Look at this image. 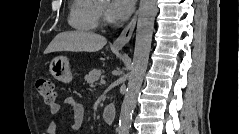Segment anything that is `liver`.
Returning <instances> with one entry per match:
<instances>
[{
	"instance_id": "liver-1",
	"label": "liver",
	"mask_w": 239,
	"mask_h": 134,
	"mask_svg": "<svg viewBox=\"0 0 239 134\" xmlns=\"http://www.w3.org/2000/svg\"><path fill=\"white\" fill-rule=\"evenodd\" d=\"M106 43L105 37L92 32H62L51 41L44 53L57 51L96 52L102 49Z\"/></svg>"
}]
</instances>
